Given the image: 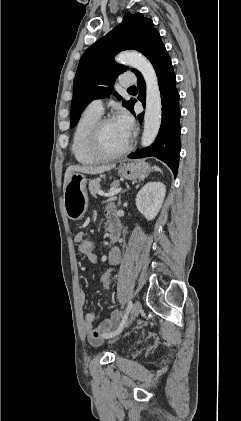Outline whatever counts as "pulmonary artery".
<instances>
[{
    "mask_svg": "<svg viewBox=\"0 0 241 421\" xmlns=\"http://www.w3.org/2000/svg\"><path fill=\"white\" fill-rule=\"evenodd\" d=\"M135 82H136V79L135 77H132V76H125L121 79V85L123 87L132 86L133 84H135ZM88 108H90L91 110L99 114H102L104 111L103 101L101 99H95L90 102V104L88 105Z\"/></svg>",
    "mask_w": 241,
    "mask_h": 421,
    "instance_id": "e3ab8cb5",
    "label": "pulmonary artery"
}]
</instances>
